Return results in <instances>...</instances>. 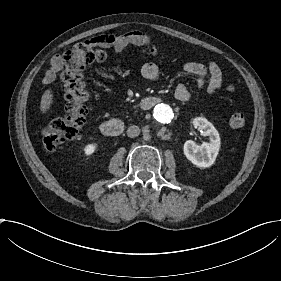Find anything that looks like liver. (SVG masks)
Listing matches in <instances>:
<instances>
[{"instance_id": "obj_1", "label": "liver", "mask_w": 281, "mask_h": 281, "mask_svg": "<svg viewBox=\"0 0 281 281\" xmlns=\"http://www.w3.org/2000/svg\"><path fill=\"white\" fill-rule=\"evenodd\" d=\"M54 102H55V92L53 91V87H49L43 92L41 96L40 107H39L40 114L41 115L48 114Z\"/></svg>"}]
</instances>
